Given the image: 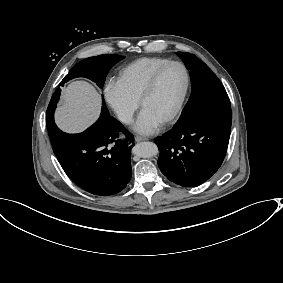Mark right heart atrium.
<instances>
[{"mask_svg":"<svg viewBox=\"0 0 283 283\" xmlns=\"http://www.w3.org/2000/svg\"><path fill=\"white\" fill-rule=\"evenodd\" d=\"M103 94L109 107L123 123H129L138 107L117 78L108 79L103 87Z\"/></svg>","mask_w":283,"mask_h":283,"instance_id":"obj_1","label":"right heart atrium"}]
</instances>
